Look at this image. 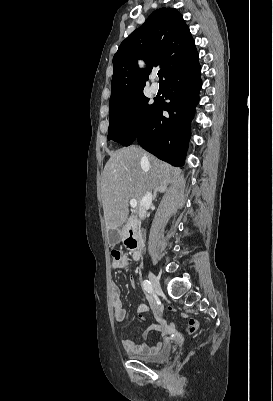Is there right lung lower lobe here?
<instances>
[{
	"label": "right lung lower lobe",
	"mask_w": 273,
	"mask_h": 401,
	"mask_svg": "<svg viewBox=\"0 0 273 401\" xmlns=\"http://www.w3.org/2000/svg\"><path fill=\"white\" fill-rule=\"evenodd\" d=\"M201 68L198 58L176 68L165 78L169 103L155 102L150 122L138 133L135 140L148 152L173 166L183 165L190 123L201 89ZM168 111L169 117L163 116Z\"/></svg>",
	"instance_id": "1"
}]
</instances>
